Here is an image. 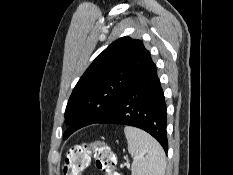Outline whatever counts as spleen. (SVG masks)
<instances>
[{
	"label": "spleen",
	"mask_w": 233,
	"mask_h": 175,
	"mask_svg": "<svg viewBox=\"0 0 233 175\" xmlns=\"http://www.w3.org/2000/svg\"><path fill=\"white\" fill-rule=\"evenodd\" d=\"M128 152L134 157L131 175H164L165 153L161 145L145 131L126 126Z\"/></svg>",
	"instance_id": "obj_1"
}]
</instances>
